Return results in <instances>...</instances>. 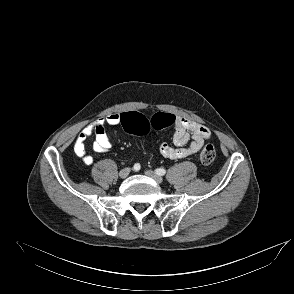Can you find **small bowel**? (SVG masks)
I'll list each match as a JSON object with an SVG mask.
<instances>
[{
    "instance_id": "obj_1",
    "label": "small bowel",
    "mask_w": 294,
    "mask_h": 294,
    "mask_svg": "<svg viewBox=\"0 0 294 294\" xmlns=\"http://www.w3.org/2000/svg\"><path fill=\"white\" fill-rule=\"evenodd\" d=\"M122 114L112 113L92 122L79 133L74 144L75 154L86 165L93 164V157L86 152L85 142L92 135L95 136L93 150L97 153L107 152L112 148L111 140L106 131V125H118L121 123ZM211 136L210 130L195 121L183 117L175 118V128L172 137L173 145L162 143L159 147L160 154L168 159H182L197 153L204 141Z\"/></svg>"
}]
</instances>
